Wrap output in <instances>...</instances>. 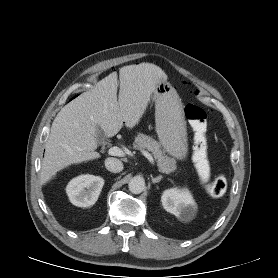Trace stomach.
Returning a JSON list of instances; mask_svg holds the SVG:
<instances>
[{
  "instance_id": "1",
  "label": "stomach",
  "mask_w": 278,
  "mask_h": 278,
  "mask_svg": "<svg viewBox=\"0 0 278 278\" xmlns=\"http://www.w3.org/2000/svg\"><path fill=\"white\" fill-rule=\"evenodd\" d=\"M156 131L164 150L176 159L188 154L186 121L181 99L175 88L160 80L154 92Z\"/></svg>"
}]
</instances>
